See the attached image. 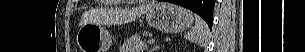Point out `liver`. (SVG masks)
I'll use <instances>...</instances> for the list:
<instances>
[{
	"instance_id": "6515ba94",
	"label": "liver",
	"mask_w": 305,
	"mask_h": 52,
	"mask_svg": "<svg viewBox=\"0 0 305 52\" xmlns=\"http://www.w3.org/2000/svg\"><path fill=\"white\" fill-rule=\"evenodd\" d=\"M152 7H153V3L146 5H139L137 7H133L130 9H111L107 13V18L109 20V23H114L118 25L123 23H129L141 17V15L145 14ZM93 17L94 16L90 11L84 13L81 18L80 26L82 27L86 23L93 22L94 21Z\"/></svg>"
}]
</instances>
